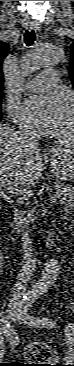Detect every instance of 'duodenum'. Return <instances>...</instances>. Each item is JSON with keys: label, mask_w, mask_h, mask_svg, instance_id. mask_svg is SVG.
I'll use <instances>...</instances> for the list:
<instances>
[{"label": "duodenum", "mask_w": 74, "mask_h": 366, "mask_svg": "<svg viewBox=\"0 0 74 366\" xmlns=\"http://www.w3.org/2000/svg\"><path fill=\"white\" fill-rule=\"evenodd\" d=\"M51 240V238L50 237H48V241H50ZM43 281V280H42Z\"/></svg>", "instance_id": "1"}]
</instances>
